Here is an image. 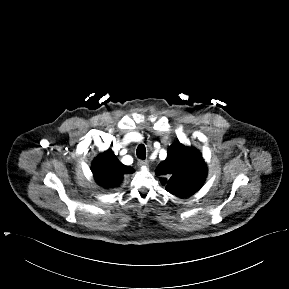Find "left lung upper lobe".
<instances>
[{"label": "left lung upper lobe", "instance_id": "left-lung-upper-lobe-1", "mask_svg": "<svg viewBox=\"0 0 289 289\" xmlns=\"http://www.w3.org/2000/svg\"><path fill=\"white\" fill-rule=\"evenodd\" d=\"M156 174L168 192L183 198L201 188L207 168L198 150L176 142L168 148V156L158 165Z\"/></svg>", "mask_w": 289, "mask_h": 289}]
</instances>
